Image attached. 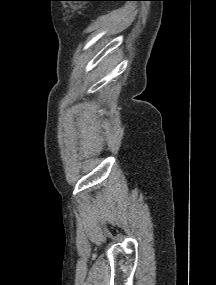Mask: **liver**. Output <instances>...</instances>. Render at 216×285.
Returning a JSON list of instances; mask_svg holds the SVG:
<instances>
[{"label":"liver","instance_id":"liver-1","mask_svg":"<svg viewBox=\"0 0 216 285\" xmlns=\"http://www.w3.org/2000/svg\"><path fill=\"white\" fill-rule=\"evenodd\" d=\"M107 62H108L110 65H113L115 61H114V59L111 58V59H108Z\"/></svg>","mask_w":216,"mask_h":285}]
</instances>
